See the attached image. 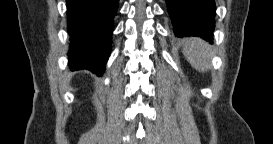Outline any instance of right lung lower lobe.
<instances>
[{
    "mask_svg": "<svg viewBox=\"0 0 273 144\" xmlns=\"http://www.w3.org/2000/svg\"><path fill=\"white\" fill-rule=\"evenodd\" d=\"M119 0H66L71 69L104 72Z\"/></svg>",
    "mask_w": 273,
    "mask_h": 144,
    "instance_id": "1",
    "label": "right lung lower lobe"
}]
</instances>
